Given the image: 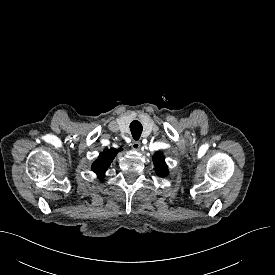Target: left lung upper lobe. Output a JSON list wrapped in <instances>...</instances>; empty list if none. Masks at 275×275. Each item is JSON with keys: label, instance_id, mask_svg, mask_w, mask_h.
Listing matches in <instances>:
<instances>
[{"label": "left lung upper lobe", "instance_id": "5c2ea615", "mask_svg": "<svg viewBox=\"0 0 275 275\" xmlns=\"http://www.w3.org/2000/svg\"><path fill=\"white\" fill-rule=\"evenodd\" d=\"M153 161L158 176L164 177L169 174L168 167L164 161V155L162 153L157 152L153 157Z\"/></svg>", "mask_w": 275, "mask_h": 275}]
</instances>
